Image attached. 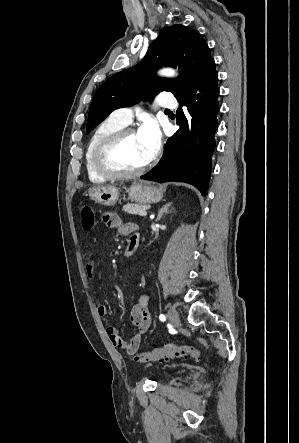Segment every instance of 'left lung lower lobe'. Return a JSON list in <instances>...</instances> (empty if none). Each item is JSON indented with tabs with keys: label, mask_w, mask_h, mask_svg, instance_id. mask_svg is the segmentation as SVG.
<instances>
[{
	"label": "left lung lower lobe",
	"mask_w": 299,
	"mask_h": 443,
	"mask_svg": "<svg viewBox=\"0 0 299 443\" xmlns=\"http://www.w3.org/2000/svg\"><path fill=\"white\" fill-rule=\"evenodd\" d=\"M218 76L212 60L199 77L177 98L179 130L170 137L159 163L141 179L180 181L206 194L217 129ZM182 106L184 109L182 110Z\"/></svg>",
	"instance_id": "left-lung-lower-lobe-1"
}]
</instances>
